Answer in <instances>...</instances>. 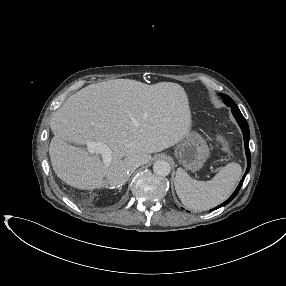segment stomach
<instances>
[{"instance_id": "stomach-1", "label": "stomach", "mask_w": 286, "mask_h": 286, "mask_svg": "<svg viewBox=\"0 0 286 286\" xmlns=\"http://www.w3.org/2000/svg\"><path fill=\"white\" fill-rule=\"evenodd\" d=\"M209 156L205 139L197 132L190 131L175 149V157L180 164L190 171L199 170Z\"/></svg>"}]
</instances>
